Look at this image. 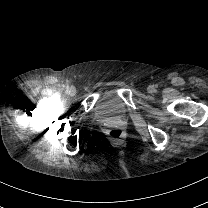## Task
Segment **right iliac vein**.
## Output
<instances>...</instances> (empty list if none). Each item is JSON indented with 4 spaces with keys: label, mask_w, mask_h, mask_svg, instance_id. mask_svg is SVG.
<instances>
[{
    "label": "right iliac vein",
    "mask_w": 208,
    "mask_h": 208,
    "mask_svg": "<svg viewBox=\"0 0 208 208\" xmlns=\"http://www.w3.org/2000/svg\"><path fill=\"white\" fill-rule=\"evenodd\" d=\"M68 93L69 95L71 96H74L76 94V88L71 86L69 89H68Z\"/></svg>",
    "instance_id": "right-iliac-vein-1"
}]
</instances>
